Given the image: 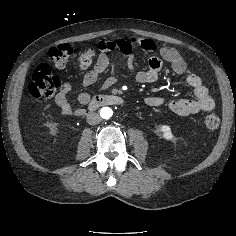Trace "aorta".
<instances>
[{"instance_id":"obj_1","label":"aorta","mask_w":236,"mask_h":236,"mask_svg":"<svg viewBox=\"0 0 236 236\" xmlns=\"http://www.w3.org/2000/svg\"><path fill=\"white\" fill-rule=\"evenodd\" d=\"M100 115L103 119H109L112 117L113 115V111L111 108L109 107H103L101 110H100Z\"/></svg>"}]
</instances>
